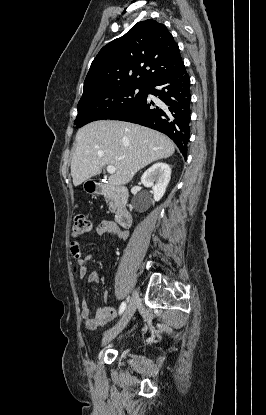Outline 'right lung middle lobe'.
<instances>
[{
    "mask_svg": "<svg viewBox=\"0 0 266 415\" xmlns=\"http://www.w3.org/2000/svg\"><path fill=\"white\" fill-rule=\"evenodd\" d=\"M146 92L147 87L120 86L82 98L74 124L80 128L96 120L110 119L141 102Z\"/></svg>",
    "mask_w": 266,
    "mask_h": 415,
    "instance_id": "1",
    "label": "right lung middle lobe"
}]
</instances>
